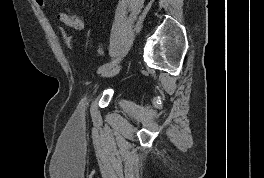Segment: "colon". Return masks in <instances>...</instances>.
<instances>
[{
	"label": "colon",
	"instance_id": "1",
	"mask_svg": "<svg viewBox=\"0 0 264 178\" xmlns=\"http://www.w3.org/2000/svg\"><path fill=\"white\" fill-rule=\"evenodd\" d=\"M63 38H64V41L66 42L67 46L69 48H71L72 47V41H71L70 36H68V35L65 34V35H63Z\"/></svg>",
	"mask_w": 264,
	"mask_h": 178
}]
</instances>
